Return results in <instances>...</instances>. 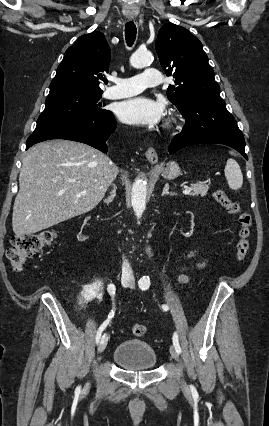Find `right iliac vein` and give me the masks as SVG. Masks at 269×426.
I'll use <instances>...</instances> for the list:
<instances>
[{
    "label": "right iliac vein",
    "instance_id": "63e3f726",
    "mask_svg": "<svg viewBox=\"0 0 269 426\" xmlns=\"http://www.w3.org/2000/svg\"><path fill=\"white\" fill-rule=\"evenodd\" d=\"M130 283H131L130 278H128V277H122V279H121V284H122V286H123V287H127V286H129V285H130ZM107 342H108V337H107V335H106V334H104V335L102 336V338H101V340H100V343H99V346H98V353H102V352L105 350V348H106V346H107ZM89 387H90V384H89V383H87V384L85 385V387H84V390H85V391H86V390H88V389H89Z\"/></svg>",
    "mask_w": 269,
    "mask_h": 426
}]
</instances>
